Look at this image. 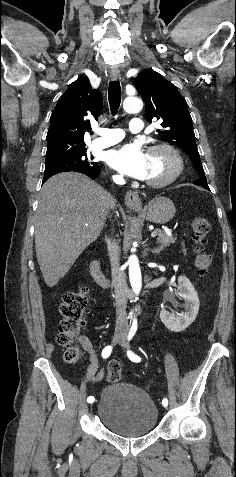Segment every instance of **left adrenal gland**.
Masks as SVG:
<instances>
[{
  "label": "left adrenal gland",
  "instance_id": "1",
  "mask_svg": "<svg viewBox=\"0 0 236 477\" xmlns=\"http://www.w3.org/2000/svg\"><path fill=\"white\" fill-rule=\"evenodd\" d=\"M162 249H163V248L160 246V247H158V248H156V249L151 250V252L154 253V254H159Z\"/></svg>",
  "mask_w": 236,
  "mask_h": 477
}]
</instances>
